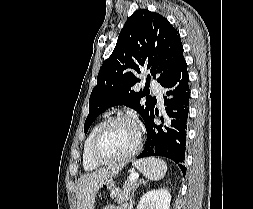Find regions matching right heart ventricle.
Listing matches in <instances>:
<instances>
[{"mask_svg": "<svg viewBox=\"0 0 253 209\" xmlns=\"http://www.w3.org/2000/svg\"><path fill=\"white\" fill-rule=\"evenodd\" d=\"M102 122L96 123L92 129L90 130L85 142H84V148H83V167L86 170H94L99 167L100 164L96 163L92 156H91V145L93 137L100 126Z\"/></svg>", "mask_w": 253, "mask_h": 209, "instance_id": "obj_1", "label": "right heart ventricle"}]
</instances>
